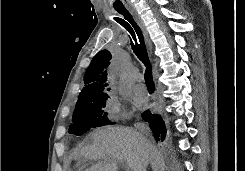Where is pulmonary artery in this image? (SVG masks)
Returning a JSON list of instances; mask_svg holds the SVG:
<instances>
[{"mask_svg":"<svg viewBox=\"0 0 245 171\" xmlns=\"http://www.w3.org/2000/svg\"><path fill=\"white\" fill-rule=\"evenodd\" d=\"M147 92V88L145 85L138 83L134 87V93L137 95H144Z\"/></svg>","mask_w":245,"mask_h":171,"instance_id":"1","label":"pulmonary artery"}]
</instances>
